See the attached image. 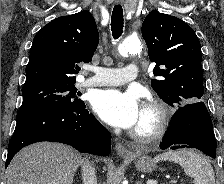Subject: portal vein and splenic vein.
I'll list each match as a JSON object with an SVG mask.
<instances>
[{
    "label": "portal vein and splenic vein",
    "mask_w": 224,
    "mask_h": 184,
    "mask_svg": "<svg viewBox=\"0 0 224 184\" xmlns=\"http://www.w3.org/2000/svg\"><path fill=\"white\" fill-rule=\"evenodd\" d=\"M147 184H158L156 180H148Z\"/></svg>",
    "instance_id": "portal-vein-and-splenic-vein-1"
}]
</instances>
